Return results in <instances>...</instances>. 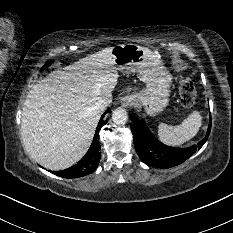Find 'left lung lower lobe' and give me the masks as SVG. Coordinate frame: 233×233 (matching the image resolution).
Segmentation results:
<instances>
[{"instance_id": "left-lung-lower-lobe-1", "label": "left lung lower lobe", "mask_w": 233, "mask_h": 233, "mask_svg": "<svg viewBox=\"0 0 233 233\" xmlns=\"http://www.w3.org/2000/svg\"><path fill=\"white\" fill-rule=\"evenodd\" d=\"M130 124L133 133V141L136 152L141 160L149 166L168 169L177 166L188 158H190L197 150H199L210 134L211 130V115L206 137L197 145L189 148H172L159 142L149 131L144 122L132 119Z\"/></svg>"}]
</instances>
